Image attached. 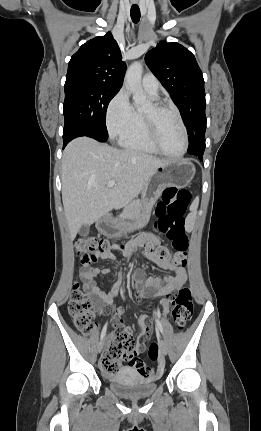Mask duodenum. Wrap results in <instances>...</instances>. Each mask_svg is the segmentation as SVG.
Segmentation results:
<instances>
[{"label":"duodenum","mask_w":261,"mask_h":431,"mask_svg":"<svg viewBox=\"0 0 261 431\" xmlns=\"http://www.w3.org/2000/svg\"><path fill=\"white\" fill-rule=\"evenodd\" d=\"M110 221H109V219H102L100 222H99V225H100V227L101 228H104V229H109L110 228Z\"/></svg>","instance_id":"410a0bca"}]
</instances>
